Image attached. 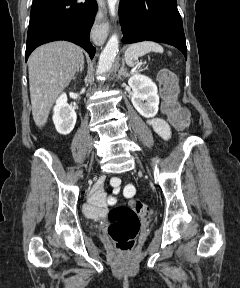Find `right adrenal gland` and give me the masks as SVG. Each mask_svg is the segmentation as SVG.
I'll list each match as a JSON object with an SVG mask.
<instances>
[{"label": "right adrenal gland", "mask_w": 240, "mask_h": 288, "mask_svg": "<svg viewBox=\"0 0 240 288\" xmlns=\"http://www.w3.org/2000/svg\"><path fill=\"white\" fill-rule=\"evenodd\" d=\"M83 70H84V61L81 63L80 69L77 70V73H79V72L82 73ZM75 78H76V76L73 77V79H75Z\"/></svg>", "instance_id": "1"}]
</instances>
